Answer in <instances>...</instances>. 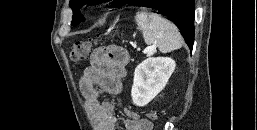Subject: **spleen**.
<instances>
[{
    "instance_id": "obj_1",
    "label": "spleen",
    "mask_w": 257,
    "mask_h": 130,
    "mask_svg": "<svg viewBox=\"0 0 257 130\" xmlns=\"http://www.w3.org/2000/svg\"><path fill=\"white\" fill-rule=\"evenodd\" d=\"M135 22L142 31L145 43L158 47L160 52L168 53L182 47L183 39L179 30L162 16L139 11L136 13Z\"/></svg>"
}]
</instances>
